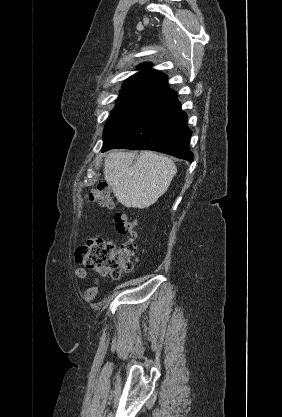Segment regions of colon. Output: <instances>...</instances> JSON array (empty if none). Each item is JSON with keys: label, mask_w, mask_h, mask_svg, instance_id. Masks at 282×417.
<instances>
[{"label": "colon", "mask_w": 282, "mask_h": 417, "mask_svg": "<svg viewBox=\"0 0 282 417\" xmlns=\"http://www.w3.org/2000/svg\"><path fill=\"white\" fill-rule=\"evenodd\" d=\"M88 198L93 206L116 210V229L121 235H127L129 239L120 248H116L103 236L91 235L85 243L78 246L75 252L76 261L89 271L118 279L134 268L138 257L136 245L138 224L128 214L117 209V203L107 184L100 183L92 188Z\"/></svg>", "instance_id": "1"}]
</instances>
